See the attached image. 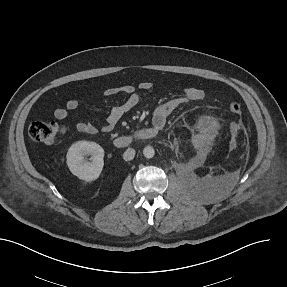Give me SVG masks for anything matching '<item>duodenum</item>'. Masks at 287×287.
<instances>
[{
	"label": "duodenum",
	"mask_w": 287,
	"mask_h": 287,
	"mask_svg": "<svg viewBox=\"0 0 287 287\" xmlns=\"http://www.w3.org/2000/svg\"><path fill=\"white\" fill-rule=\"evenodd\" d=\"M158 129L156 127H145L138 129L129 136H121L114 139L113 143L117 148H125L137 140H150L156 137Z\"/></svg>",
	"instance_id": "obj_1"
}]
</instances>
